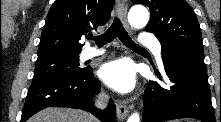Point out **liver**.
Instances as JSON below:
<instances>
[{
  "label": "liver",
  "mask_w": 221,
  "mask_h": 122,
  "mask_svg": "<svg viewBox=\"0 0 221 122\" xmlns=\"http://www.w3.org/2000/svg\"><path fill=\"white\" fill-rule=\"evenodd\" d=\"M96 120L82 110L49 107L32 116L28 122H96Z\"/></svg>",
  "instance_id": "1"
}]
</instances>
